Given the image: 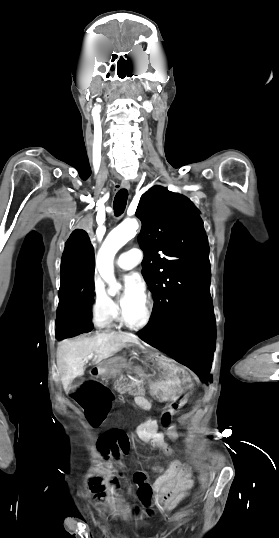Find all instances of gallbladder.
<instances>
[{
    "label": "gallbladder",
    "instance_id": "1",
    "mask_svg": "<svg viewBox=\"0 0 279 538\" xmlns=\"http://www.w3.org/2000/svg\"><path fill=\"white\" fill-rule=\"evenodd\" d=\"M83 382V378H76V380H74V382H72L71 386L72 388H74V386H80V384H82Z\"/></svg>",
    "mask_w": 279,
    "mask_h": 538
}]
</instances>
